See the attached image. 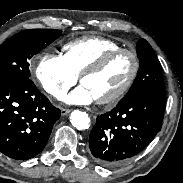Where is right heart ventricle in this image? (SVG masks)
I'll list each match as a JSON object with an SVG mask.
<instances>
[{
  "instance_id": "right-heart-ventricle-1",
  "label": "right heart ventricle",
  "mask_w": 183,
  "mask_h": 183,
  "mask_svg": "<svg viewBox=\"0 0 183 183\" xmlns=\"http://www.w3.org/2000/svg\"><path fill=\"white\" fill-rule=\"evenodd\" d=\"M120 48V45L100 36L84 37L67 43L63 47V57L68 67L77 75L96 62L106 53Z\"/></svg>"
}]
</instances>
